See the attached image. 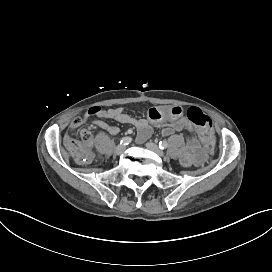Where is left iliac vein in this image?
<instances>
[{"instance_id":"1","label":"left iliac vein","mask_w":272,"mask_h":272,"mask_svg":"<svg viewBox=\"0 0 272 272\" xmlns=\"http://www.w3.org/2000/svg\"><path fill=\"white\" fill-rule=\"evenodd\" d=\"M146 147L160 157L164 155L163 151L153 142H148L146 144Z\"/></svg>"}]
</instances>
